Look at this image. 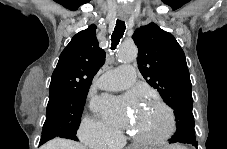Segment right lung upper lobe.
Masks as SVG:
<instances>
[{
	"mask_svg": "<svg viewBox=\"0 0 227 149\" xmlns=\"http://www.w3.org/2000/svg\"><path fill=\"white\" fill-rule=\"evenodd\" d=\"M96 25L77 33L65 47L52 74L49 93L85 92L105 62L98 45Z\"/></svg>",
	"mask_w": 227,
	"mask_h": 149,
	"instance_id": "1",
	"label": "right lung upper lobe"
}]
</instances>
